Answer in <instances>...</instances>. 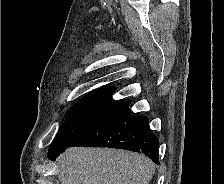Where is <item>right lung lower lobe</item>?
Masks as SVG:
<instances>
[{
	"instance_id": "1",
	"label": "right lung lower lobe",
	"mask_w": 224,
	"mask_h": 184,
	"mask_svg": "<svg viewBox=\"0 0 224 184\" xmlns=\"http://www.w3.org/2000/svg\"><path fill=\"white\" fill-rule=\"evenodd\" d=\"M130 102L120 103L109 115L67 144L50 148L48 158L55 160L68 147H110L144 153L159 164V140L150 130L146 116L130 115Z\"/></svg>"
}]
</instances>
